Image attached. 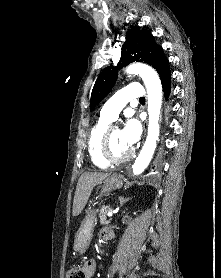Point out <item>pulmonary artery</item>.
Here are the masks:
<instances>
[{
  "mask_svg": "<svg viewBox=\"0 0 221 278\" xmlns=\"http://www.w3.org/2000/svg\"><path fill=\"white\" fill-rule=\"evenodd\" d=\"M143 96V88L136 83H131L117 92L104 104L100 115L110 121H113L130 100L138 99Z\"/></svg>",
  "mask_w": 221,
  "mask_h": 278,
  "instance_id": "obj_1",
  "label": "pulmonary artery"
}]
</instances>
